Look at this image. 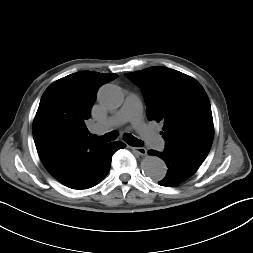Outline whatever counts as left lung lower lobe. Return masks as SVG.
Here are the masks:
<instances>
[{
	"label": "left lung lower lobe",
	"mask_w": 253,
	"mask_h": 253,
	"mask_svg": "<svg viewBox=\"0 0 253 253\" xmlns=\"http://www.w3.org/2000/svg\"><path fill=\"white\" fill-rule=\"evenodd\" d=\"M149 154L159 156L168 167L165 178L158 182L161 186H174L187 180L197 171L205 159L169 148H165L163 152L150 150Z\"/></svg>",
	"instance_id": "left-lung-lower-lobe-1"
}]
</instances>
